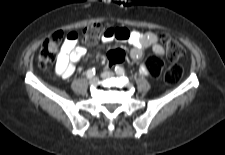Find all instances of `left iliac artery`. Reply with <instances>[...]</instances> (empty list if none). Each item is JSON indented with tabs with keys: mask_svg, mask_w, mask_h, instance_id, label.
<instances>
[{
	"mask_svg": "<svg viewBox=\"0 0 225 155\" xmlns=\"http://www.w3.org/2000/svg\"><path fill=\"white\" fill-rule=\"evenodd\" d=\"M115 73L117 75H123L124 76L125 75V70L121 66H116L115 67Z\"/></svg>",
	"mask_w": 225,
	"mask_h": 155,
	"instance_id": "obj_1",
	"label": "left iliac artery"
}]
</instances>
